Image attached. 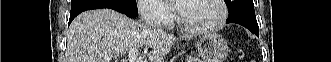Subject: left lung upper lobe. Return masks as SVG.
I'll use <instances>...</instances> for the list:
<instances>
[{"label":"left lung upper lobe","mask_w":331,"mask_h":62,"mask_svg":"<svg viewBox=\"0 0 331 62\" xmlns=\"http://www.w3.org/2000/svg\"><path fill=\"white\" fill-rule=\"evenodd\" d=\"M229 10L227 23H242L258 27L253 0H226Z\"/></svg>","instance_id":"left-lung-upper-lobe-1"}]
</instances>
